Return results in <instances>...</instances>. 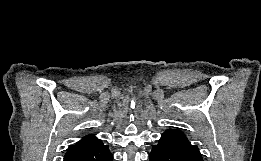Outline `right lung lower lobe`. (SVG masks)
I'll list each match as a JSON object with an SVG mask.
<instances>
[{"instance_id":"98d812e1","label":"right lung lower lobe","mask_w":261,"mask_h":161,"mask_svg":"<svg viewBox=\"0 0 261 161\" xmlns=\"http://www.w3.org/2000/svg\"><path fill=\"white\" fill-rule=\"evenodd\" d=\"M113 156L108 145H98L93 148L67 152L64 161H112Z\"/></svg>"}]
</instances>
